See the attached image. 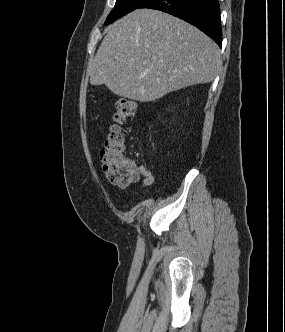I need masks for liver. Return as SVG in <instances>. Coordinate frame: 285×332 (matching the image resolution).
Instances as JSON below:
<instances>
[{
	"instance_id": "obj_1",
	"label": "liver",
	"mask_w": 285,
	"mask_h": 332,
	"mask_svg": "<svg viewBox=\"0 0 285 332\" xmlns=\"http://www.w3.org/2000/svg\"><path fill=\"white\" fill-rule=\"evenodd\" d=\"M217 44L167 13L136 9L108 27L89 61L90 84L140 102L211 82L221 67Z\"/></svg>"
}]
</instances>
